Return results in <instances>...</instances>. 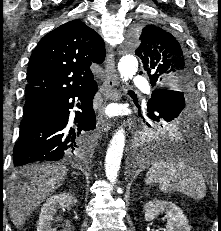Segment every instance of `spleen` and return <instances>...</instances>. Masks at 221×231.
<instances>
[{
    "instance_id": "3e777b00",
    "label": "spleen",
    "mask_w": 221,
    "mask_h": 231,
    "mask_svg": "<svg viewBox=\"0 0 221 231\" xmlns=\"http://www.w3.org/2000/svg\"><path fill=\"white\" fill-rule=\"evenodd\" d=\"M149 185L159 183L163 193L179 191L195 200L206 196V185L202 173L183 158L167 157L152 164L146 174Z\"/></svg>"
}]
</instances>
